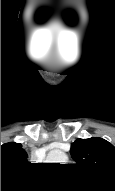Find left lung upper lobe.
Instances as JSON below:
<instances>
[{"mask_svg": "<svg viewBox=\"0 0 115 191\" xmlns=\"http://www.w3.org/2000/svg\"><path fill=\"white\" fill-rule=\"evenodd\" d=\"M70 152L79 167L115 182V147L111 143L99 137L77 139Z\"/></svg>", "mask_w": 115, "mask_h": 191, "instance_id": "obj_1", "label": "left lung upper lobe"}]
</instances>
